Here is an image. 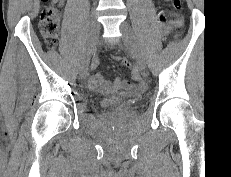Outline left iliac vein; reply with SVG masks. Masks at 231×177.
Instances as JSON below:
<instances>
[{
    "mask_svg": "<svg viewBox=\"0 0 231 177\" xmlns=\"http://www.w3.org/2000/svg\"><path fill=\"white\" fill-rule=\"evenodd\" d=\"M120 29L123 34V41L125 45L132 49L136 56L140 69L143 70L146 66L145 56L131 26L127 22H123L120 25Z\"/></svg>",
    "mask_w": 231,
    "mask_h": 177,
    "instance_id": "obj_1",
    "label": "left iliac vein"
}]
</instances>
